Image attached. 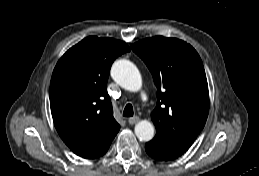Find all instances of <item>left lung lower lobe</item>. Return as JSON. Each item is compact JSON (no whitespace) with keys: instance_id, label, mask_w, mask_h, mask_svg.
Returning a JSON list of instances; mask_svg holds the SVG:
<instances>
[{"instance_id":"1","label":"left lung lower lobe","mask_w":259,"mask_h":176,"mask_svg":"<svg viewBox=\"0 0 259 176\" xmlns=\"http://www.w3.org/2000/svg\"><path fill=\"white\" fill-rule=\"evenodd\" d=\"M145 149L149 156H151L153 159H156L158 161H169V160L175 159L171 156L163 154L162 152H160L158 150L153 149L149 142L146 143Z\"/></svg>"}]
</instances>
